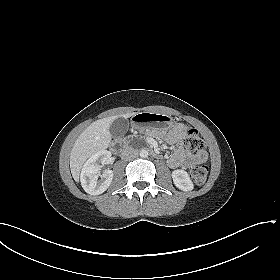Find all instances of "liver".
Wrapping results in <instances>:
<instances>
[{
    "label": "liver",
    "mask_w": 280,
    "mask_h": 280,
    "mask_svg": "<svg viewBox=\"0 0 280 280\" xmlns=\"http://www.w3.org/2000/svg\"><path fill=\"white\" fill-rule=\"evenodd\" d=\"M136 113H126L97 120L90 124L76 139L70 154V169L76 182L84 162L98 151L105 150L112 139L110 125L118 118H129Z\"/></svg>",
    "instance_id": "liver-1"
}]
</instances>
